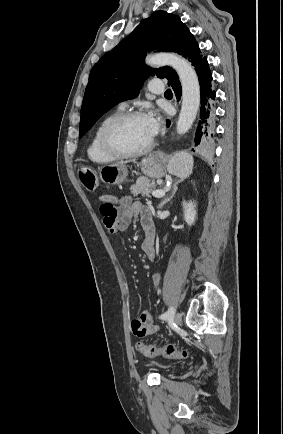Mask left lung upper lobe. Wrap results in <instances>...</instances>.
Listing matches in <instances>:
<instances>
[{"mask_svg": "<svg viewBox=\"0 0 283 434\" xmlns=\"http://www.w3.org/2000/svg\"><path fill=\"white\" fill-rule=\"evenodd\" d=\"M176 52L196 66L203 57L198 42L179 16L156 11L92 68L81 107L79 138L112 107L136 98L150 75L166 78L168 85L179 81L169 66L157 70L147 67V51Z\"/></svg>", "mask_w": 283, "mask_h": 434, "instance_id": "5c2ea615", "label": "left lung upper lobe"}]
</instances>
